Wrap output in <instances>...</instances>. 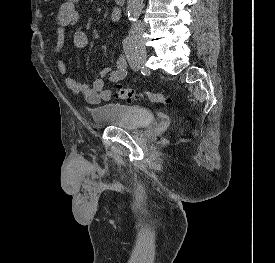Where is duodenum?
Instances as JSON below:
<instances>
[{"instance_id": "410a0bca", "label": "duodenum", "mask_w": 275, "mask_h": 263, "mask_svg": "<svg viewBox=\"0 0 275 263\" xmlns=\"http://www.w3.org/2000/svg\"><path fill=\"white\" fill-rule=\"evenodd\" d=\"M116 4H118L119 6H123L126 2V0H115Z\"/></svg>"}]
</instances>
